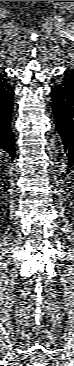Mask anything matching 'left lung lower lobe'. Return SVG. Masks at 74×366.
<instances>
[{
    "instance_id": "left-lung-lower-lobe-1",
    "label": "left lung lower lobe",
    "mask_w": 74,
    "mask_h": 366,
    "mask_svg": "<svg viewBox=\"0 0 74 366\" xmlns=\"http://www.w3.org/2000/svg\"><path fill=\"white\" fill-rule=\"evenodd\" d=\"M55 124L67 156V173L74 170V69L66 70L51 91Z\"/></svg>"
}]
</instances>
